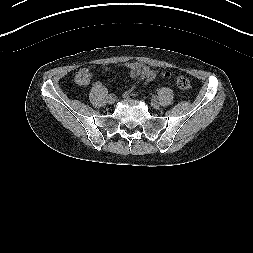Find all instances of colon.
Wrapping results in <instances>:
<instances>
[{
    "label": "colon",
    "instance_id": "colon-1",
    "mask_svg": "<svg viewBox=\"0 0 253 253\" xmlns=\"http://www.w3.org/2000/svg\"><path fill=\"white\" fill-rule=\"evenodd\" d=\"M163 76L166 78L171 77V73L168 71L163 72ZM176 84L177 86L184 91H188L191 89V82L188 78L184 77V76H178L176 78ZM137 95V91L136 90H131L129 92H127L126 96L127 98H135Z\"/></svg>",
    "mask_w": 253,
    "mask_h": 253
}]
</instances>
